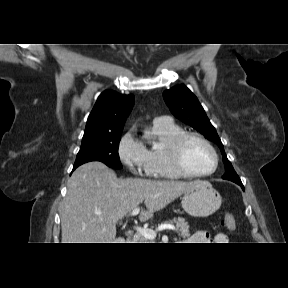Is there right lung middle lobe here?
<instances>
[{
    "mask_svg": "<svg viewBox=\"0 0 288 288\" xmlns=\"http://www.w3.org/2000/svg\"><path fill=\"white\" fill-rule=\"evenodd\" d=\"M121 133L120 131L95 139L83 140L73 169L90 161H100L112 168H122L118 155Z\"/></svg>",
    "mask_w": 288,
    "mask_h": 288,
    "instance_id": "dd1d6c3e",
    "label": "right lung middle lobe"
}]
</instances>
